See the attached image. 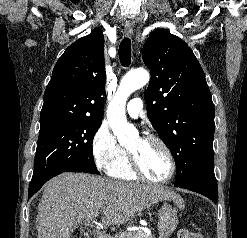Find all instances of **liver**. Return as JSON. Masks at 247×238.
I'll use <instances>...</instances> for the list:
<instances>
[{"mask_svg": "<svg viewBox=\"0 0 247 238\" xmlns=\"http://www.w3.org/2000/svg\"><path fill=\"white\" fill-rule=\"evenodd\" d=\"M162 200L181 203L177 193L161 186L64 173L44 185L36 217L38 238H70L82 221L95 219L99 212L104 225L124 224Z\"/></svg>", "mask_w": 247, "mask_h": 238, "instance_id": "6515ba94", "label": "liver"}]
</instances>
